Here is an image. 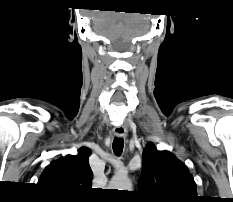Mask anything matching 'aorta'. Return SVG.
Masks as SVG:
<instances>
[{
	"mask_svg": "<svg viewBox=\"0 0 233 202\" xmlns=\"http://www.w3.org/2000/svg\"><path fill=\"white\" fill-rule=\"evenodd\" d=\"M111 189L129 190L131 189V181L126 176H116L110 184Z\"/></svg>",
	"mask_w": 233,
	"mask_h": 202,
	"instance_id": "762f6f07",
	"label": "aorta"
}]
</instances>
